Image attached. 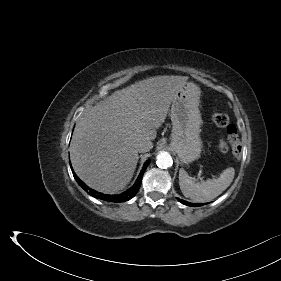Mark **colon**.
I'll list each match as a JSON object with an SVG mask.
<instances>
[{
    "label": "colon",
    "mask_w": 281,
    "mask_h": 281,
    "mask_svg": "<svg viewBox=\"0 0 281 281\" xmlns=\"http://www.w3.org/2000/svg\"><path fill=\"white\" fill-rule=\"evenodd\" d=\"M211 120L218 127L226 129V139L222 140L218 144V150L220 152H226L230 150L233 156L237 159L240 155L241 146L236 127L230 124L228 116L222 112H213L211 115Z\"/></svg>",
    "instance_id": "colon-1"
}]
</instances>
